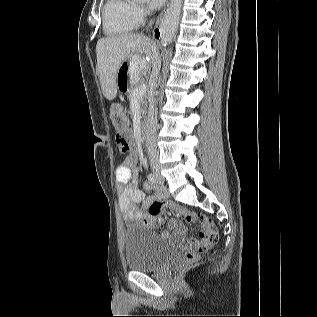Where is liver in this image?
Segmentation results:
<instances>
[{
	"label": "liver",
	"instance_id": "obj_1",
	"mask_svg": "<svg viewBox=\"0 0 317 317\" xmlns=\"http://www.w3.org/2000/svg\"><path fill=\"white\" fill-rule=\"evenodd\" d=\"M155 49L156 45L152 40L135 33L99 39L96 45L97 71L104 97L108 100L116 97L117 72L126 59L132 56L140 69H148L149 63L141 55H145L153 63Z\"/></svg>",
	"mask_w": 317,
	"mask_h": 317
}]
</instances>
